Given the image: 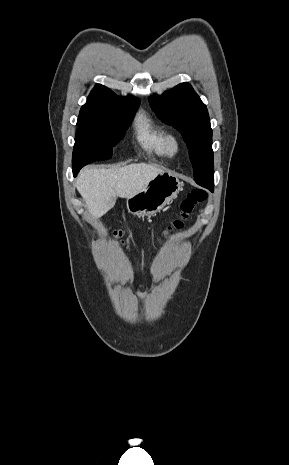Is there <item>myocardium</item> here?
<instances>
[{
  "label": "myocardium",
  "instance_id": "1",
  "mask_svg": "<svg viewBox=\"0 0 289 465\" xmlns=\"http://www.w3.org/2000/svg\"><path fill=\"white\" fill-rule=\"evenodd\" d=\"M181 149L179 137L173 133H167L165 138V152L168 156H175Z\"/></svg>",
  "mask_w": 289,
  "mask_h": 465
}]
</instances>
